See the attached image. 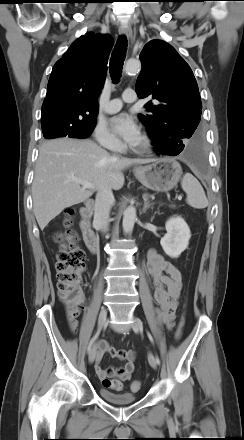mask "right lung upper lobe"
<instances>
[{
  "label": "right lung upper lobe",
  "mask_w": 244,
  "mask_h": 440,
  "mask_svg": "<svg viewBox=\"0 0 244 440\" xmlns=\"http://www.w3.org/2000/svg\"><path fill=\"white\" fill-rule=\"evenodd\" d=\"M112 38L92 32L78 38L51 72L41 121L65 120L75 125L96 121Z\"/></svg>",
  "instance_id": "obj_1"
}]
</instances>
